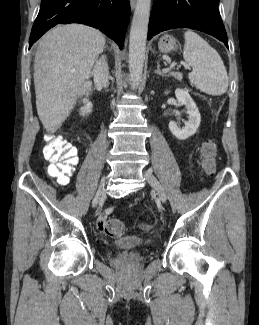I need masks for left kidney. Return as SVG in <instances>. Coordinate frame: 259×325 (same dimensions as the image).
<instances>
[{
	"instance_id": "left-kidney-1",
	"label": "left kidney",
	"mask_w": 259,
	"mask_h": 325,
	"mask_svg": "<svg viewBox=\"0 0 259 325\" xmlns=\"http://www.w3.org/2000/svg\"><path fill=\"white\" fill-rule=\"evenodd\" d=\"M169 92H165L168 94ZM175 95L179 105H185L188 114V121L184 124L182 129L178 128L174 121L169 122V129L171 133L179 140H186L190 136L194 135L200 125L201 116L198 108L186 90L176 89Z\"/></svg>"
}]
</instances>
